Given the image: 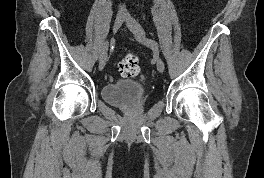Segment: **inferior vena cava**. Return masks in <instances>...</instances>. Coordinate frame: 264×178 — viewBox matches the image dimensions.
<instances>
[{
    "label": "inferior vena cava",
    "instance_id": "1",
    "mask_svg": "<svg viewBox=\"0 0 264 178\" xmlns=\"http://www.w3.org/2000/svg\"><path fill=\"white\" fill-rule=\"evenodd\" d=\"M119 12H121V13H125L126 12V10L124 9V7H120V9H119Z\"/></svg>",
    "mask_w": 264,
    "mask_h": 178
}]
</instances>
